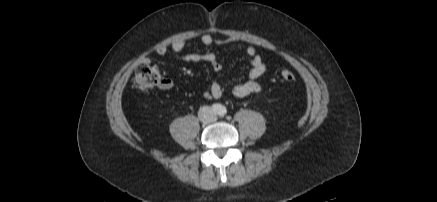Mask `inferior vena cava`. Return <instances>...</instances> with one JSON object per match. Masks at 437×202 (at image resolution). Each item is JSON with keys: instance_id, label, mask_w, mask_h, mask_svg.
<instances>
[{"instance_id": "1", "label": "inferior vena cava", "mask_w": 437, "mask_h": 202, "mask_svg": "<svg viewBox=\"0 0 437 202\" xmlns=\"http://www.w3.org/2000/svg\"><path fill=\"white\" fill-rule=\"evenodd\" d=\"M198 116L202 122H206V123L214 121L216 117L214 111L209 106L201 107L198 112Z\"/></svg>"}]
</instances>
